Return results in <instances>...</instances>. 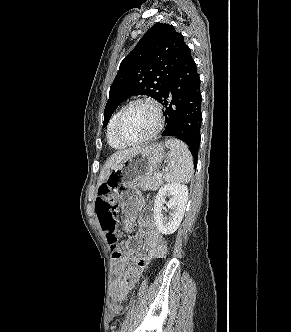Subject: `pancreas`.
Masks as SVG:
<instances>
[{
  "label": "pancreas",
  "mask_w": 291,
  "mask_h": 332,
  "mask_svg": "<svg viewBox=\"0 0 291 332\" xmlns=\"http://www.w3.org/2000/svg\"><path fill=\"white\" fill-rule=\"evenodd\" d=\"M162 183H163L162 178L158 179L157 177L154 176L147 180L139 182L137 186L144 191L146 190L155 191L160 187Z\"/></svg>",
  "instance_id": "1"
}]
</instances>
